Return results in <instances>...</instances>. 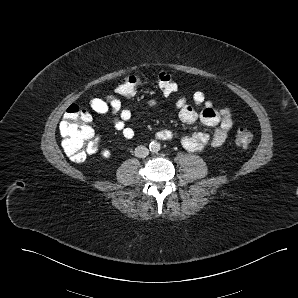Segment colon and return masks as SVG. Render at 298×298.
<instances>
[{"label": "colon", "instance_id": "5ec220e1", "mask_svg": "<svg viewBox=\"0 0 298 298\" xmlns=\"http://www.w3.org/2000/svg\"><path fill=\"white\" fill-rule=\"evenodd\" d=\"M142 85V76L132 74L116 88V93L123 97H134ZM157 87L160 92L169 96L177 90L173 77L167 72H160L157 76ZM62 147L69 158L75 163H82L99 145L88 114L78 105L71 104L65 111L60 122ZM253 141V133L245 126L238 128L235 143L241 148H248Z\"/></svg>", "mask_w": 298, "mask_h": 298}]
</instances>
